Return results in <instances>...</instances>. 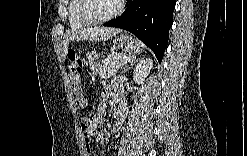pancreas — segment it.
Returning a JSON list of instances; mask_svg holds the SVG:
<instances>
[{
    "label": "pancreas",
    "instance_id": "cf45deb5",
    "mask_svg": "<svg viewBox=\"0 0 247 156\" xmlns=\"http://www.w3.org/2000/svg\"><path fill=\"white\" fill-rule=\"evenodd\" d=\"M128 60L129 56L127 54L113 52L103 59V65L97 72L102 79H108L115 75Z\"/></svg>",
    "mask_w": 247,
    "mask_h": 156
}]
</instances>
